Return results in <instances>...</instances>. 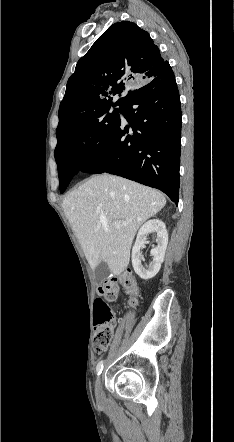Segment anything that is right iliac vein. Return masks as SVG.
Listing matches in <instances>:
<instances>
[{
    "label": "right iliac vein",
    "mask_w": 234,
    "mask_h": 442,
    "mask_svg": "<svg viewBox=\"0 0 234 442\" xmlns=\"http://www.w3.org/2000/svg\"><path fill=\"white\" fill-rule=\"evenodd\" d=\"M95 393H96V397L98 399H101L103 396V392H102V385H101V379L98 378L96 380V384H95Z\"/></svg>",
    "instance_id": "right-iliac-vein-1"
}]
</instances>
